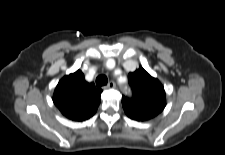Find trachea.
Segmentation results:
<instances>
[{
    "instance_id": "3493384b",
    "label": "trachea",
    "mask_w": 225,
    "mask_h": 155,
    "mask_svg": "<svg viewBox=\"0 0 225 155\" xmlns=\"http://www.w3.org/2000/svg\"><path fill=\"white\" fill-rule=\"evenodd\" d=\"M108 82V79L105 75H99L97 78H96V85L97 87H101V86H104L106 85Z\"/></svg>"
}]
</instances>
